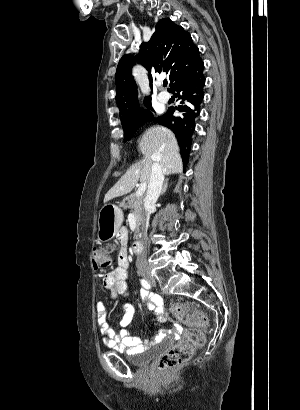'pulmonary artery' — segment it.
<instances>
[{
  "label": "pulmonary artery",
  "mask_w": 300,
  "mask_h": 410,
  "mask_svg": "<svg viewBox=\"0 0 300 410\" xmlns=\"http://www.w3.org/2000/svg\"><path fill=\"white\" fill-rule=\"evenodd\" d=\"M169 99H170V95L166 91H161L158 95V100L163 104L167 103Z\"/></svg>",
  "instance_id": "e3ab8cb5"
}]
</instances>
